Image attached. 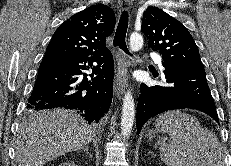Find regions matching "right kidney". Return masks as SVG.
Segmentation results:
<instances>
[{"mask_svg":"<svg viewBox=\"0 0 231 166\" xmlns=\"http://www.w3.org/2000/svg\"><path fill=\"white\" fill-rule=\"evenodd\" d=\"M59 166H77V165L74 162L67 161V162L62 163Z\"/></svg>","mask_w":231,"mask_h":166,"instance_id":"right-kidney-1","label":"right kidney"}]
</instances>
